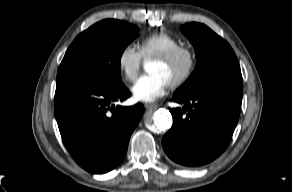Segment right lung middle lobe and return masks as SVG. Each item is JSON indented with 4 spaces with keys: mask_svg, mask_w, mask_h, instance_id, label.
Masks as SVG:
<instances>
[{
    "mask_svg": "<svg viewBox=\"0 0 292 192\" xmlns=\"http://www.w3.org/2000/svg\"><path fill=\"white\" fill-rule=\"evenodd\" d=\"M137 31V26L113 19L94 24L70 45L59 66L57 79H87L112 89L123 86L120 58Z\"/></svg>",
    "mask_w": 292,
    "mask_h": 192,
    "instance_id": "obj_1",
    "label": "right lung middle lobe"
}]
</instances>
